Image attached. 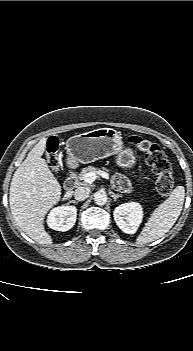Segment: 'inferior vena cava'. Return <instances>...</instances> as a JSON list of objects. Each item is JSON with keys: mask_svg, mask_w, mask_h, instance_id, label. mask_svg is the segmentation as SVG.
<instances>
[{"mask_svg": "<svg viewBox=\"0 0 193 351\" xmlns=\"http://www.w3.org/2000/svg\"><path fill=\"white\" fill-rule=\"evenodd\" d=\"M90 189L88 187L80 186L74 191L76 200L83 201L89 197Z\"/></svg>", "mask_w": 193, "mask_h": 351, "instance_id": "602c4592", "label": "inferior vena cava"}]
</instances>
